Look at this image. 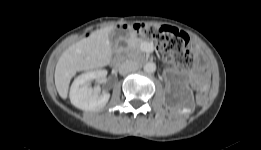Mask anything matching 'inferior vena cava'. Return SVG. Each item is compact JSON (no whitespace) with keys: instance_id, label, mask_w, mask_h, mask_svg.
I'll use <instances>...</instances> for the list:
<instances>
[{"instance_id":"602c4592","label":"inferior vena cava","mask_w":261,"mask_h":150,"mask_svg":"<svg viewBox=\"0 0 261 150\" xmlns=\"http://www.w3.org/2000/svg\"><path fill=\"white\" fill-rule=\"evenodd\" d=\"M137 69H138V65L132 61L122 62L118 68L119 73L121 75H127Z\"/></svg>"}]
</instances>
